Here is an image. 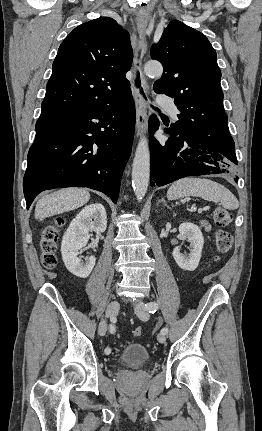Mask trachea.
<instances>
[{
  "instance_id": "1",
  "label": "trachea",
  "mask_w": 262,
  "mask_h": 431,
  "mask_svg": "<svg viewBox=\"0 0 262 431\" xmlns=\"http://www.w3.org/2000/svg\"><path fill=\"white\" fill-rule=\"evenodd\" d=\"M138 77H139V76H138ZM138 77H137V79H136V86L140 88V87H141V84H140V79H139ZM141 93H142V94H144L142 89H141Z\"/></svg>"
}]
</instances>
